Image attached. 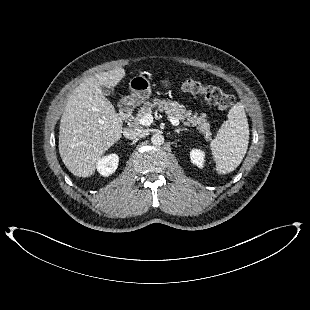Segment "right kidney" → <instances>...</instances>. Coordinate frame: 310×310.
<instances>
[{"label":"right kidney","mask_w":310,"mask_h":310,"mask_svg":"<svg viewBox=\"0 0 310 310\" xmlns=\"http://www.w3.org/2000/svg\"><path fill=\"white\" fill-rule=\"evenodd\" d=\"M118 162L119 158L116 154L104 156L96 164L97 171L100 175L108 177L116 171Z\"/></svg>","instance_id":"1"}]
</instances>
